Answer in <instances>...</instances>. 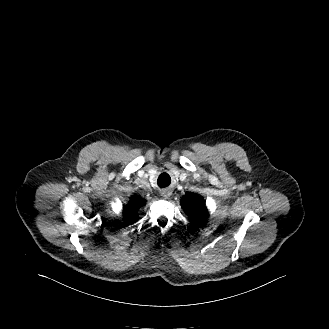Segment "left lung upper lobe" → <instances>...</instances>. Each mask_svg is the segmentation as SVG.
I'll use <instances>...</instances> for the list:
<instances>
[{
    "instance_id": "left-lung-upper-lobe-1",
    "label": "left lung upper lobe",
    "mask_w": 329,
    "mask_h": 329,
    "mask_svg": "<svg viewBox=\"0 0 329 329\" xmlns=\"http://www.w3.org/2000/svg\"><path fill=\"white\" fill-rule=\"evenodd\" d=\"M181 204L195 225L199 226L205 222L208 211L202 197L194 193H186L181 200Z\"/></svg>"
}]
</instances>
